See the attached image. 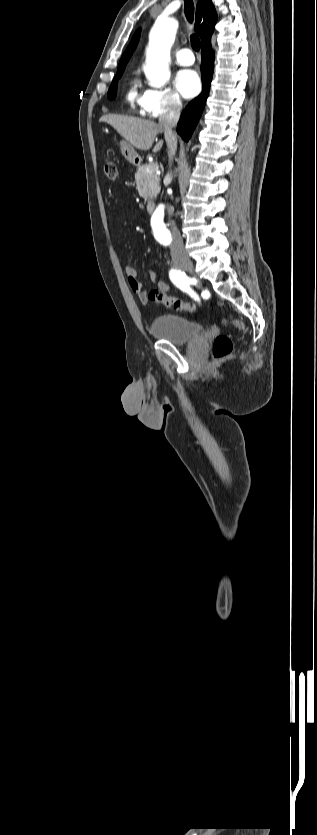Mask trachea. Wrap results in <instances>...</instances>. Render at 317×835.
<instances>
[{
	"label": "trachea",
	"instance_id": "1",
	"mask_svg": "<svg viewBox=\"0 0 317 835\" xmlns=\"http://www.w3.org/2000/svg\"><path fill=\"white\" fill-rule=\"evenodd\" d=\"M184 3H185V15H186V18H187V20H188L190 23H192V22H193V18H194V4H193V0H184ZM190 41H191L192 48H193L195 51H199V48H200V39H199L198 35H196V34H192V35L190 36Z\"/></svg>",
	"mask_w": 317,
	"mask_h": 835
}]
</instances>
